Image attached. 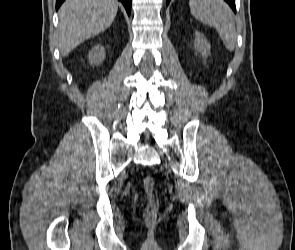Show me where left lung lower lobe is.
I'll list each match as a JSON object with an SVG mask.
<instances>
[{
	"label": "left lung lower lobe",
	"mask_w": 295,
	"mask_h": 250,
	"mask_svg": "<svg viewBox=\"0 0 295 250\" xmlns=\"http://www.w3.org/2000/svg\"><path fill=\"white\" fill-rule=\"evenodd\" d=\"M233 9L234 12H236V7H235V0H225ZM167 5L169 4L170 0H166Z\"/></svg>",
	"instance_id": "left-lung-lower-lobe-1"
}]
</instances>
